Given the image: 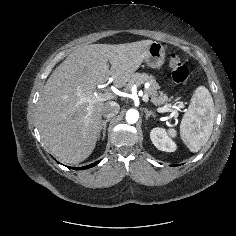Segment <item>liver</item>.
I'll list each match as a JSON object with an SVG mask.
<instances>
[{
    "label": "liver",
    "mask_w": 236,
    "mask_h": 236,
    "mask_svg": "<svg viewBox=\"0 0 236 236\" xmlns=\"http://www.w3.org/2000/svg\"><path fill=\"white\" fill-rule=\"evenodd\" d=\"M152 43L83 44L52 72L38 101L37 118L44 145L61 162L78 164L91 155L105 103H89L87 99L93 98L96 86L109 78L115 87L125 86Z\"/></svg>",
    "instance_id": "1"
}]
</instances>
